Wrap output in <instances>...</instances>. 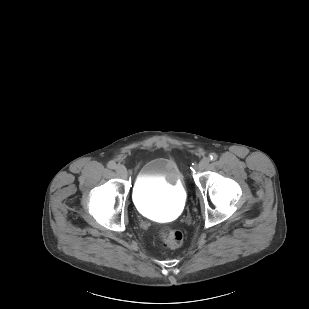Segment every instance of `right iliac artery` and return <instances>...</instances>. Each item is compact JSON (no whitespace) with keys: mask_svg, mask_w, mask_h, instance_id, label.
<instances>
[{"mask_svg":"<svg viewBox=\"0 0 309 309\" xmlns=\"http://www.w3.org/2000/svg\"><path fill=\"white\" fill-rule=\"evenodd\" d=\"M108 168L110 169H115L116 168V163L113 161L108 162L107 164Z\"/></svg>","mask_w":309,"mask_h":309,"instance_id":"obj_1","label":"right iliac artery"}]
</instances>
